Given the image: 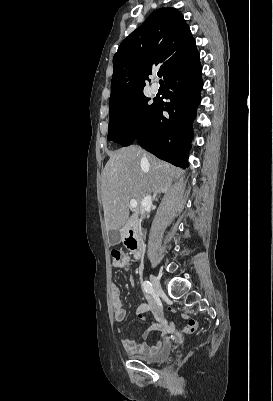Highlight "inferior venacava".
I'll list each match as a JSON object with an SVG mask.
<instances>
[{
	"instance_id": "inferior-vena-cava-1",
	"label": "inferior vena cava",
	"mask_w": 273,
	"mask_h": 401,
	"mask_svg": "<svg viewBox=\"0 0 273 401\" xmlns=\"http://www.w3.org/2000/svg\"><path fill=\"white\" fill-rule=\"evenodd\" d=\"M151 203H152L151 194H147V196H144L143 201L141 203V207H140L141 215H144L147 205H151Z\"/></svg>"
}]
</instances>
